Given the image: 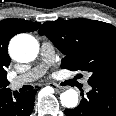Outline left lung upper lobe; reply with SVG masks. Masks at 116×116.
I'll return each instance as SVG.
<instances>
[{
	"label": "left lung upper lobe",
	"instance_id": "obj_1",
	"mask_svg": "<svg viewBox=\"0 0 116 116\" xmlns=\"http://www.w3.org/2000/svg\"><path fill=\"white\" fill-rule=\"evenodd\" d=\"M65 55L61 67L91 74L88 83L116 84V27L76 18L45 22L39 30Z\"/></svg>",
	"mask_w": 116,
	"mask_h": 116
}]
</instances>
